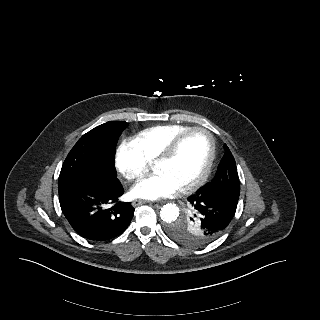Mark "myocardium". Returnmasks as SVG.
<instances>
[{"label":"myocardium","mask_w":320,"mask_h":320,"mask_svg":"<svg viewBox=\"0 0 320 320\" xmlns=\"http://www.w3.org/2000/svg\"><path fill=\"white\" fill-rule=\"evenodd\" d=\"M201 132L208 137L210 150L204 170L194 181L182 186L180 192H189L200 187L209 177L216 157V142L212 133L203 127H189L178 133L164 148V150L154 159V165L170 160L176 153L181 141L191 133Z\"/></svg>","instance_id":"f54148a6"}]
</instances>
